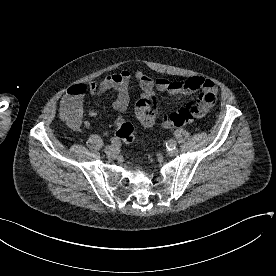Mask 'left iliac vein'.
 <instances>
[{
	"mask_svg": "<svg viewBox=\"0 0 276 276\" xmlns=\"http://www.w3.org/2000/svg\"><path fill=\"white\" fill-rule=\"evenodd\" d=\"M168 154L171 156V157H174L178 154V149L175 147V148H171L169 151H168Z\"/></svg>",
	"mask_w": 276,
	"mask_h": 276,
	"instance_id": "1",
	"label": "left iliac vein"
}]
</instances>
